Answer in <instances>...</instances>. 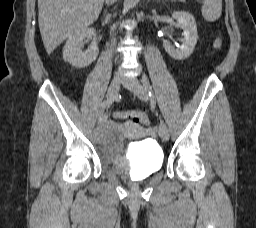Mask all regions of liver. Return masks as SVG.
Instances as JSON below:
<instances>
[{
	"instance_id": "obj_1",
	"label": "liver",
	"mask_w": 256,
	"mask_h": 228,
	"mask_svg": "<svg viewBox=\"0 0 256 228\" xmlns=\"http://www.w3.org/2000/svg\"><path fill=\"white\" fill-rule=\"evenodd\" d=\"M104 0H38V22L45 50L51 54L65 39L93 24Z\"/></svg>"
}]
</instances>
